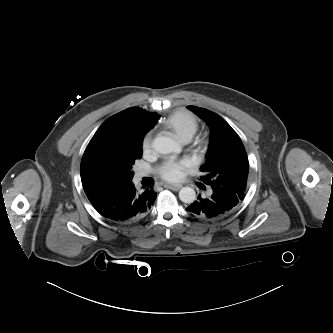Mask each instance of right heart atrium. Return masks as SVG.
<instances>
[{"label":"right heart atrium","instance_id":"1","mask_svg":"<svg viewBox=\"0 0 333 333\" xmlns=\"http://www.w3.org/2000/svg\"><path fill=\"white\" fill-rule=\"evenodd\" d=\"M152 147V137L150 135H146L142 142V149L144 153H148Z\"/></svg>","mask_w":333,"mask_h":333}]
</instances>
